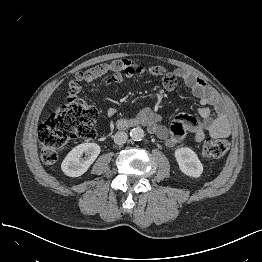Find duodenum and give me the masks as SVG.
Here are the masks:
<instances>
[{
	"mask_svg": "<svg viewBox=\"0 0 262 262\" xmlns=\"http://www.w3.org/2000/svg\"><path fill=\"white\" fill-rule=\"evenodd\" d=\"M136 125H141V126L146 127V124L142 122L141 120L121 118L117 123V128L118 129H127V128L134 127Z\"/></svg>",
	"mask_w": 262,
	"mask_h": 262,
	"instance_id": "obj_1",
	"label": "duodenum"
}]
</instances>
